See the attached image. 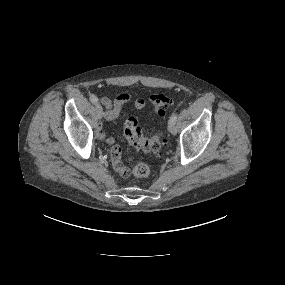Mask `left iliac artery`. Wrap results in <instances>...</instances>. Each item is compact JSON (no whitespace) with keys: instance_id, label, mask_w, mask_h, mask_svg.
<instances>
[{"instance_id":"44dca946","label":"left iliac artery","mask_w":285,"mask_h":285,"mask_svg":"<svg viewBox=\"0 0 285 285\" xmlns=\"http://www.w3.org/2000/svg\"><path fill=\"white\" fill-rule=\"evenodd\" d=\"M170 120L172 121H177V114L176 113H173L172 116L170 117Z\"/></svg>"}]
</instances>
